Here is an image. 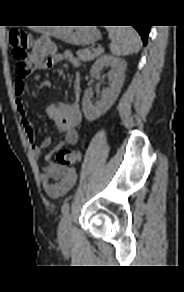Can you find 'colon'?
<instances>
[{"label":"colon","instance_id":"colon-1","mask_svg":"<svg viewBox=\"0 0 184 292\" xmlns=\"http://www.w3.org/2000/svg\"><path fill=\"white\" fill-rule=\"evenodd\" d=\"M11 52L15 60V72L17 74H26L30 70V62L27 53V47L30 43V37L23 31L12 30L9 36ZM54 44L47 37L39 38L33 49V58L41 61L52 55ZM58 164L70 166L76 164L81 157L80 152L71 149H61L54 154Z\"/></svg>","mask_w":184,"mask_h":292}]
</instances>
